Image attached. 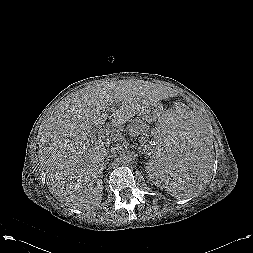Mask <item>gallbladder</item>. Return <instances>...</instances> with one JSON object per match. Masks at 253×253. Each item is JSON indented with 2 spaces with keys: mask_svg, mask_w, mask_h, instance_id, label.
Returning <instances> with one entry per match:
<instances>
[{
  "mask_svg": "<svg viewBox=\"0 0 253 253\" xmlns=\"http://www.w3.org/2000/svg\"><path fill=\"white\" fill-rule=\"evenodd\" d=\"M96 129H98V127H93V132H94Z\"/></svg>",
  "mask_w": 253,
  "mask_h": 253,
  "instance_id": "obj_1",
  "label": "gallbladder"
}]
</instances>
